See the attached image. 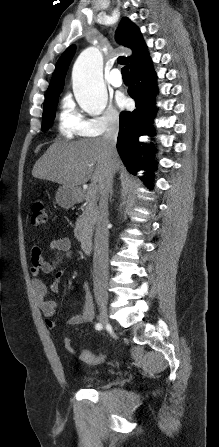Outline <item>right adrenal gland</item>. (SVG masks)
<instances>
[{
  "label": "right adrenal gland",
  "instance_id": "1",
  "mask_svg": "<svg viewBox=\"0 0 219 447\" xmlns=\"http://www.w3.org/2000/svg\"><path fill=\"white\" fill-rule=\"evenodd\" d=\"M112 195H113V188H111V191H110V198H112Z\"/></svg>",
  "mask_w": 219,
  "mask_h": 447
}]
</instances>
